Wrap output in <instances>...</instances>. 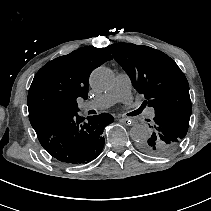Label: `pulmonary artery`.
Returning a JSON list of instances; mask_svg holds the SVG:
<instances>
[{"label":"pulmonary artery","instance_id":"obj_1","mask_svg":"<svg viewBox=\"0 0 211 211\" xmlns=\"http://www.w3.org/2000/svg\"><path fill=\"white\" fill-rule=\"evenodd\" d=\"M130 89H131V80L128 74L119 73L116 76L115 83L109 92L98 96L93 101L82 103L80 105V108L84 111L104 110L109 108L119 100H121L122 103L124 104H129L132 101ZM143 116L148 121L155 120L157 117L156 109L153 106H146L143 109Z\"/></svg>","mask_w":211,"mask_h":211}]
</instances>
